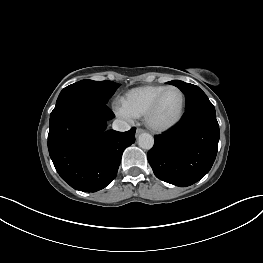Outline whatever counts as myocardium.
I'll return each instance as SVG.
<instances>
[{"label":"myocardium","mask_w":263,"mask_h":263,"mask_svg":"<svg viewBox=\"0 0 263 263\" xmlns=\"http://www.w3.org/2000/svg\"><path fill=\"white\" fill-rule=\"evenodd\" d=\"M177 90L182 97V105H181V109L179 114L177 115V117L172 120L169 123L166 124H156L153 121V116L163 98V96L169 91V90ZM185 109H186V96L185 93L183 92V90L177 86L174 85H170L167 86L165 89H163L156 97L155 99L152 101L151 105L149 106L146 114L144 115V121L145 124L153 131L155 132H164L167 131L171 128H173L174 126H176L183 118L184 114H185Z\"/></svg>","instance_id":"myocardium-1"}]
</instances>
